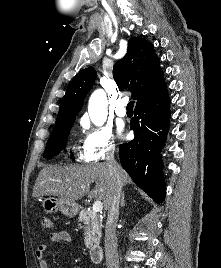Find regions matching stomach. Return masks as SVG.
<instances>
[{"label":"stomach","instance_id":"0dacf381","mask_svg":"<svg viewBox=\"0 0 221 268\" xmlns=\"http://www.w3.org/2000/svg\"><path fill=\"white\" fill-rule=\"evenodd\" d=\"M42 208L46 213H56L60 211L67 217H74L79 211V205L76 202L66 201L55 197L43 199Z\"/></svg>","mask_w":221,"mask_h":268}]
</instances>
